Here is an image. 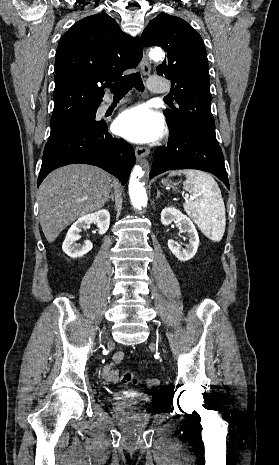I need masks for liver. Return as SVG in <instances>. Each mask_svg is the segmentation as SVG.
Returning a JSON list of instances; mask_svg holds the SVG:
<instances>
[{
    "instance_id": "liver-1",
    "label": "liver",
    "mask_w": 279,
    "mask_h": 465,
    "mask_svg": "<svg viewBox=\"0 0 279 465\" xmlns=\"http://www.w3.org/2000/svg\"><path fill=\"white\" fill-rule=\"evenodd\" d=\"M111 176L86 164L51 172L39 187V220L49 243L77 218L102 208L111 191Z\"/></svg>"
}]
</instances>
